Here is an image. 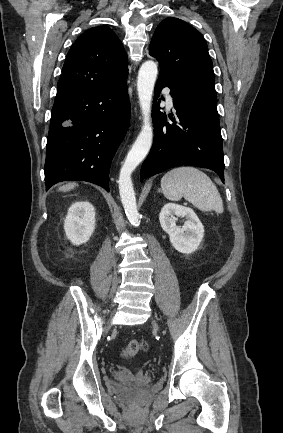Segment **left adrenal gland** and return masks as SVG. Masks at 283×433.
<instances>
[{
    "instance_id": "left-adrenal-gland-1",
    "label": "left adrenal gland",
    "mask_w": 283,
    "mask_h": 433,
    "mask_svg": "<svg viewBox=\"0 0 283 433\" xmlns=\"http://www.w3.org/2000/svg\"><path fill=\"white\" fill-rule=\"evenodd\" d=\"M158 192H161V188H158Z\"/></svg>"
}]
</instances>
